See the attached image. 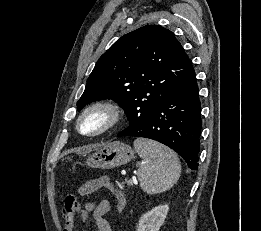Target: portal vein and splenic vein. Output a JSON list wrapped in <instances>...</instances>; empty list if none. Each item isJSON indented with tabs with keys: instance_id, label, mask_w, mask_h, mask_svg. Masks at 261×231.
<instances>
[{
	"instance_id": "18ae733b",
	"label": "portal vein and splenic vein",
	"mask_w": 261,
	"mask_h": 231,
	"mask_svg": "<svg viewBox=\"0 0 261 231\" xmlns=\"http://www.w3.org/2000/svg\"><path fill=\"white\" fill-rule=\"evenodd\" d=\"M134 180H128L127 183L128 184H133Z\"/></svg>"
}]
</instances>
